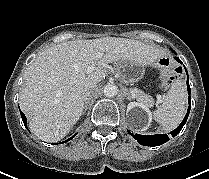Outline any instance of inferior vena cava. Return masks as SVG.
Returning a JSON list of instances; mask_svg holds the SVG:
<instances>
[{
	"instance_id": "obj_1",
	"label": "inferior vena cava",
	"mask_w": 209,
	"mask_h": 179,
	"mask_svg": "<svg viewBox=\"0 0 209 179\" xmlns=\"http://www.w3.org/2000/svg\"><path fill=\"white\" fill-rule=\"evenodd\" d=\"M97 87V83L92 84L89 89L85 92L84 96H83V100L87 101L90 97V94L92 93V91Z\"/></svg>"
}]
</instances>
